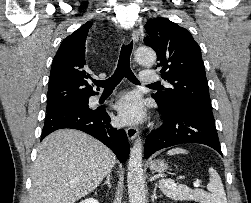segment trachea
<instances>
[{
  "label": "trachea",
  "mask_w": 251,
  "mask_h": 203,
  "mask_svg": "<svg viewBox=\"0 0 251 203\" xmlns=\"http://www.w3.org/2000/svg\"><path fill=\"white\" fill-rule=\"evenodd\" d=\"M133 49V41L129 44L123 45L121 48L119 61L114 74L104 81H96L97 87H103L104 90H113L125 77L134 84H139V81L133 74L130 68V56ZM152 86H159L160 84H151Z\"/></svg>",
  "instance_id": "obj_1"
}]
</instances>
